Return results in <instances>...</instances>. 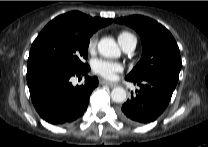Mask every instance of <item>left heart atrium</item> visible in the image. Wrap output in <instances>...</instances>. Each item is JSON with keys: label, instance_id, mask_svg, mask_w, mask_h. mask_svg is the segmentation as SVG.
<instances>
[{"label": "left heart atrium", "instance_id": "left-heart-atrium-1", "mask_svg": "<svg viewBox=\"0 0 208 147\" xmlns=\"http://www.w3.org/2000/svg\"><path fill=\"white\" fill-rule=\"evenodd\" d=\"M92 70L103 78L113 80L123 71V65L116 61L95 59L92 62Z\"/></svg>", "mask_w": 208, "mask_h": 147}]
</instances>
